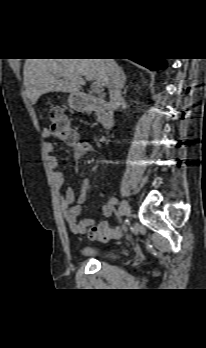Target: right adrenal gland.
Instances as JSON below:
<instances>
[{
    "instance_id": "1",
    "label": "right adrenal gland",
    "mask_w": 206,
    "mask_h": 348,
    "mask_svg": "<svg viewBox=\"0 0 206 348\" xmlns=\"http://www.w3.org/2000/svg\"><path fill=\"white\" fill-rule=\"evenodd\" d=\"M126 80H127V77H126L123 69L121 68V84H122L123 88L125 87Z\"/></svg>"
}]
</instances>
